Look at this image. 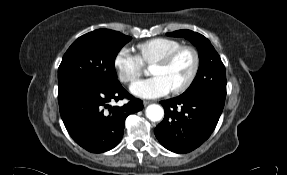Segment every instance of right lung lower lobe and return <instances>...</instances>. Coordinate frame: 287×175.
Masks as SVG:
<instances>
[{
	"instance_id": "1",
	"label": "right lung lower lobe",
	"mask_w": 287,
	"mask_h": 175,
	"mask_svg": "<svg viewBox=\"0 0 287 175\" xmlns=\"http://www.w3.org/2000/svg\"><path fill=\"white\" fill-rule=\"evenodd\" d=\"M125 97L130 101L124 106H109V102ZM58 101L61 118L70 136L93 153L114 148L123 136L126 117L143 108V102L131 96L121 84L113 88L70 84L58 89Z\"/></svg>"
}]
</instances>
